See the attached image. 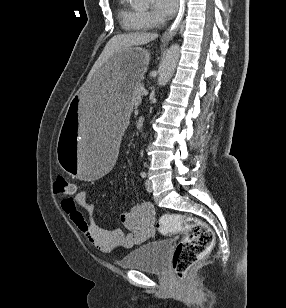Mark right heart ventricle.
<instances>
[{
    "mask_svg": "<svg viewBox=\"0 0 286 308\" xmlns=\"http://www.w3.org/2000/svg\"><path fill=\"white\" fill-rule=\"evenodd\" d=\"M117 15L122 28L126 31L142 32L150 27L144 19L143 12L131 7L127 0H120Z\"/></svg>",
    "mask_w": 286,
    "mask_h": 308,
    "instance_id": "obj_1",
    "label": "right heart ventricle"
}]
</instances>
